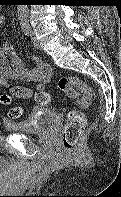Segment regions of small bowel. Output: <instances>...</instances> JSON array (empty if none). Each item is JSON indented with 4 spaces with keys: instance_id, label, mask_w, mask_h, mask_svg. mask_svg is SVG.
<instances>
[{
    "instance_id": "obj_1",
    "label": "small bowel",
    "mask_w": 121,
    "mask_h": 197,
    "mask_svg": "<svg viewBox=\"0 0 121 197\" xmlns=\"http://www.w3.org/2000/svg\"><path fill=\"white\" fill-rule=\"evenodd\" d=\"M4 21L0 13V26ZM31 60L34 66L30 69L24 67L19 55L8 45L0 48V86L9 87L8 80H24L35 84L33 88H24L27 94L16 96L30 98L35 91H42L46 84L51 80V68L42 62L39 56L33 55Z\"/></svg>"
}]
</instances>
